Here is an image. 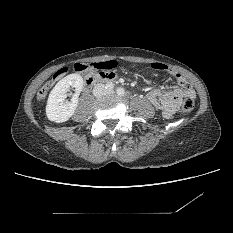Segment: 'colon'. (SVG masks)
Wrapping results in <instances>:
<instances>
[{
  "mask_svg": "<svg viewBox=\"0 0 233 233\" xmlns=\"http://www.w3.org/2000/svg\"><path fill=\"white\" fill-rule=\"evenodd\" d=\"M151 67L159 72H165V73H169L171 72V68L163 63V62H153L151 63ZM70 72H76V73H81V74H88V65L86 63H82V62H78L75 63L72 67L68 68V67H64L62 69H60L53 77V83H56L62 79H64ZM179 86L184 89L186 92L190 91V84L188 83V81L186 80H182L179 83ZM48 86H43L37 94V97L39 100H43L48 92ZM194 105V100L191 96L187 95L183 101H182V111L185 115H188Z\"/></svg>",
  "mask_w": 233,
  "mask_h": 233,
  "instance_id": "5ec220e1",
  "label": "colon"
}]
</instances>
